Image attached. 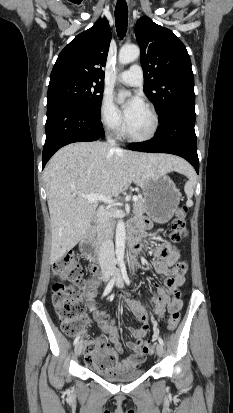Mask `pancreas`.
<instances>
[{"label": "pancreas", "mask_w": 233, "mask_h": 413, "mask_svg": "<svg viewBox=\"0 0 233 413\" xmlns=\"http://www.w3.org/2000/svg\"><path fill=\"white\" fill-rule=\"evenodd\" d=\"M146 209H147L146 202H145V199H143V198H139L133 204V214L135 215V217L142 216L146 212ZM110 226L111 227L114 226L113 221L110 223ZM96 235H97V238L100 239L103 235V232L100 229H97L96 230Z\"/></svg>", "instance_id": "pancreas-1"}]
</instances>
